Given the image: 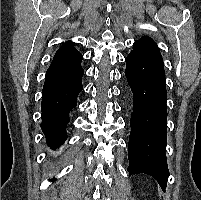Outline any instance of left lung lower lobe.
<instances>
[{"label": "left lung lower lobe", "instance_id": "1", "mask_svg": "<svg viewBox=\"0 0 201 200\" xmlns=\"http://www.w3.org/2000/svg\"><path fill=\"white\" fill-rule=\"evenodd\" d=\"M125 75L133 91V113L129 137V175L147 174L165 191L167 166V92L161 55L130 53Z\"/></svg>", "mask_w": 201, "mask_h": 200}]
</instances>
